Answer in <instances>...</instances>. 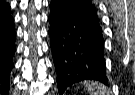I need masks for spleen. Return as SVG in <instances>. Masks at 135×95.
I'll list each match as a JSON object with an SVG mask.
<instances>
[{
    "instance_id": "3e777b00",
    "label": "spleen",
    "mask_w": 135,
    "mask_h": 95,
    "mask_svg": "<svg viewBox=\"0 0 135 95\" xmlns=\"http://www.w3.org/2000/svg\"><path fill=\"white\" fill-rule=\"evenodd\" d=\"M84 86L89 92L90 95H110V91L107 89V87L104 84L89 81L84 82Z\"/></svg>"
}]
</instances>
